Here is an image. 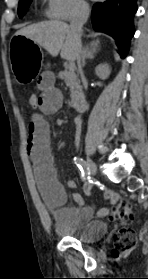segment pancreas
Here are the masks:
<instances>
[{
  "instance_id": "obj_1",
  "label": "pancreas",
  "mask_w": 148,
  "mask_h": 279,
  "mask_svg": "<svg viewBox=\"0 0 148 279\" xmlns=\"http://www.w3.org/2000/svg\"><path fill=\"white\" fill-rule=\"evenodd\" d=\"M59 77L64 80L70 88L72 103H76L82 96V87L74 71L64 70L59 73Z\"/></svg>"
}]
</instances>
